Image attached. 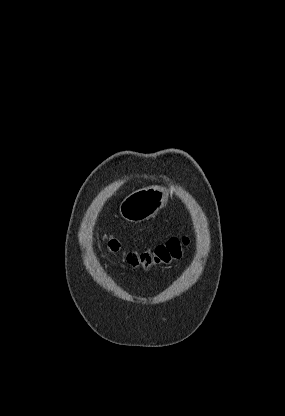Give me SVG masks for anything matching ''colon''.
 Here are the masks:
<instances>
[{
	"label": "colon",
	"mask_w": 285,
	"mask_h": 416,
	"mask_svg": "<svg viewBox=\"0 0 285 416\" xmlns=\"http://www.w3.org/2000/svg\"><path fill=\"white\" fill-rule=\"evenodd\" d=\"M104 240L108 252L121 255L123 260L132 268H151L158 265H167L178 260L189 242L187 237H174L151 251L121 253V244L117 239L105 237Z\"/></svg>",
	"instance_id": "1"
}]
</instances>
